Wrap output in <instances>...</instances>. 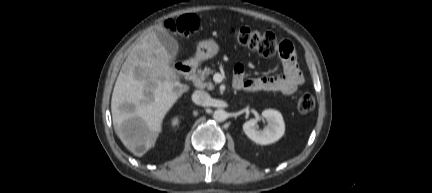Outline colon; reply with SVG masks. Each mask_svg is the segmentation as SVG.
Listing matches in <instances>:
<instances>
[{
    "mask_svg": "<svg viewBox=\"0 0 432 193\" xmlns=\"http://www.w3.org/2000/svg\"><path fill=\"white\" fill-rule=\"evenodd\" d=\"M167 27L177 35L188 36L194 33L199 27V20L194 15H184L176 20H169ZM230 36L242 47L252 53L263 57H272L276 53L289 54L290 45L285 42H277L271 32H262L249 27L233 28ZM315 107V98L309 93H303L298 100V109L302 113L310 112Z\"/></svg>",
    "mask_w": 432,
    "mask_h": 193,
    "instance_id": "5ec220e1",
    "label": "colon"
}]
</instances>
